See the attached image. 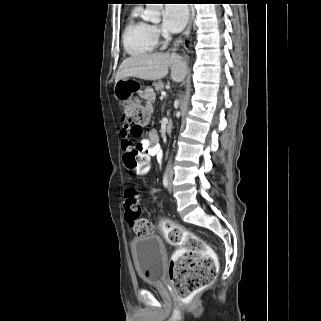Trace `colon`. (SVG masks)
<instances>
[{"instance_id": "5ec220e1", "label": "colon", "mask_w": 321, "mask_h": 321, "mask_svg": "<svg viewBox=\"0 0 321 321\" xmlns=\"http://www.w3.org/2000/svg\"><path fill=\"white\" fill-rule=\"evenodd\" d=\"M122 122L131 135L139 137L149 121V111L139 99L123 103ZM125 166L133 174L146 172L150 166L147 155L133 150L124 156ZM125 220L137 235L149 234L153 230L150 220L140 216V193L133 187L125 190ZM167 242L178 247L171 260L169 276L178 297L190 299L194 294L210 285L216 278L218 262L214 251L197 235L168 219L159 222Z\"/></svg>"}]
</instances>
